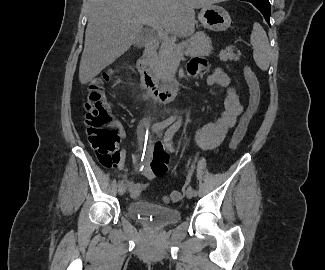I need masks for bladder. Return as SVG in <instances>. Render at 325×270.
I'll return each instance as SVG.
<instances>
[{
  "label": "bladder",
  "instance_id": "1",
  "mask_svg": "<svg viewBox=\"0 0 325 270\" xmlns=\"http://www.w3.org/2000/svg\"><path fill=\"white\" fill-rule=\"evenodd\" d=\"M130 218L152 227L161 228L181 220V213L175 207L162 206L146 200H137L127 206Z\"/></svg>",
  "mask_w": 325,
  "mask_h": 270
}]
</instances>
